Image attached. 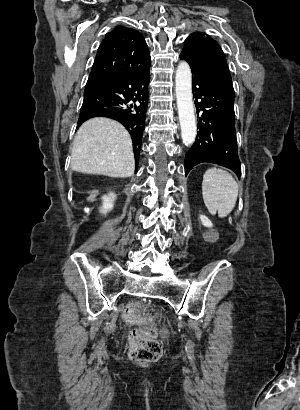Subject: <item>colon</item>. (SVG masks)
I'll return each mask as SVG.
<instances>
[{"instance_id": "obj_1", "label": "colon", "mask_w": 300, "mask_h": 410, "mask_svg": "<svg viewBox=\"0 0 300 410\" xmlns=\"http://www.w3.org/2000/svg\"><path fill=\"white\" fill-rule=\"evenodd\" d=\"M124 316L130 327H139L129 336L130 358L138 363L157 361L162 355V346L156 339L157 323L150 321L148 306L140 302H131L127 304Z\"/></svg>"}]
</instances>
